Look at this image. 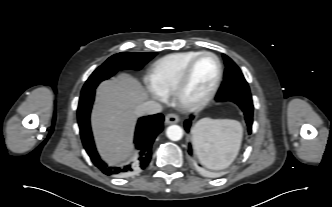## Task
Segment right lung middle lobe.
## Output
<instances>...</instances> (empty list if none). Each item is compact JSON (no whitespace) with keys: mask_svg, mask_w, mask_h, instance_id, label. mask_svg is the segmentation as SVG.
I'll use <instances>...</instances> for the list:
<instances>
[{"mask_svg":"<svg viewBox=\"0 0 332 207\" xmlns=\"http://www.w3.org/2000/svg\"><path fill=\"white\" fill-rule=\"evenodd\" d=\"M156 53L154 52H121L111 56L98 67L83 86L81 95L94 91L98 84L123 69L140 70Z\"/></svg>","mask_w":332,"mask_h":207,"instance_id":"right-lung-middle-lobe-1","label":"right lung middle lobe"}]
</instances>
